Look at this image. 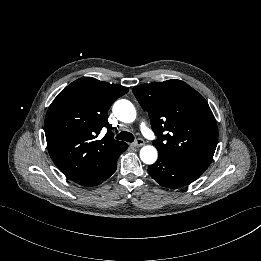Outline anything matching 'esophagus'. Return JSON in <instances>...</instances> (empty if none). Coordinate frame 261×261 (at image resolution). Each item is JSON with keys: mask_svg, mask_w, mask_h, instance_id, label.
<instances>
[{"mask_svg": "<svg viewBox=\"0 0 261 261\" xmlns=\"http://www.w3.org/2000/svg\"><path fill=\"white\" fill-rule=\"evenodd\" d=\"M134 146L138 147V146H142L144 145V141L143 139L139 138L137 139L134 143H133Z\"/></svg>", "mask_w": 261, "mask_h": 261, "instance_id": "34e87169", "label": "esophagus"}]
</instances>
